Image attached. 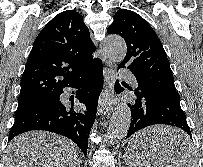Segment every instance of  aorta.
Wrapping results in <instances>:
<instances>
[{
	"instance_id": "1",
	"label": "aorta",
	"mask_w": 203,
	"mask_h": 167,
	"mask_svg": "<svg viewBox=\"0 0 203 167\" xmlns=\"http://www.w3.org/2000/svg\"><path fill=\"white\" fill-rule=\"evenodd\" d=\"M104 50L113 62L120 63L126 56L127 46L122 37L110 35L104 41ZM131 115V109L126 102L117 105L107 130V139L110 143H117L126 137Z\"/></svg>"
}]
</instances>
